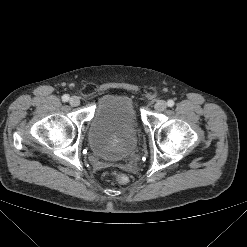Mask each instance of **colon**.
<instances>
[{"label":"colon","instance_id":"1","mask_svg":"<svg viewBox=\"0 0 247 247\" xmlns=\"http://www.w3.org/2000/svg\"><path fill=\"white\" fill-rule=\"evenodd\" d=\"M114 179L119 184H126L129 181L128 176L122 173L115 174Z\"/></svg>","mask_w":247,"mask_h":247}]
</instances>
